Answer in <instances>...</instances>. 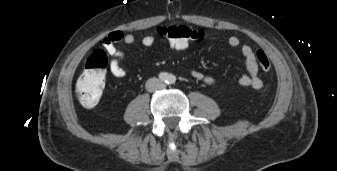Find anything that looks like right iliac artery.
Here are the masks:
<instances>
[{"mask_svg": "<svg viewBox=\"0 0 337 171\" xmlns=\"http://www.w3.org/2000/svg\"><path fill=\"white\" fill-rule=\"evenodd\" d=\"M159 79L163 82H168L169 75L165 72L159 74Z\"/></svg>", "mask_w": 337, "mask_h": 171, "instance_id": "1", "label": "right iliac artery"}]
</instances>
